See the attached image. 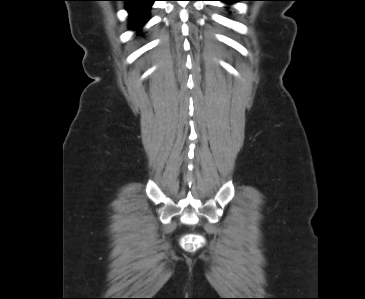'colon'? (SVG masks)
Instances as JSON below:
<instances>
[{"instance_id": "1", "label": "colon", "mask_w": 365, "mask_h": 299, "mask_svg": "<svg viewBox=\"0 0 365 299\" xmlns=\"http://www.w3.org/2000/svg\"><path fill=\"white\" fill-rule=\"evenodd\" d=\"M204 244V237L202 235H187L182 239V246L188 251H196Z\"/></svg>"}]
</instances>
